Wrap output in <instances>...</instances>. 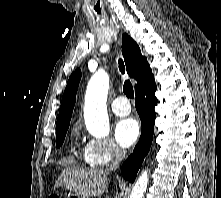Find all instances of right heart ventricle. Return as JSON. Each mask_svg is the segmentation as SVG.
Here are the masks:
<instances>
[{
  "instance_id": "obj_1",
  "label": "right heart ventricle",
  "mask_w": 221,
  "mask_h": 198,
  "mask_svg": "<svg viewBox=\"0 0 221 198\" xmlns=\"http://www.w3.org/2000/svg\"><path fill=\"white\" fill-rule=\"evenodd\" d=\"M82 157H83L84 161L87 162L86 157H85V152H84V151H83V153H82ZM87 163H88V162H87Z\"/></svg>"
}]
</instances>
